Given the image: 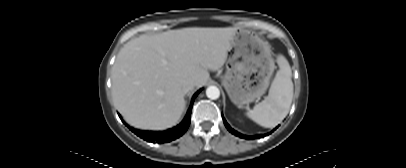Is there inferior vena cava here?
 Wrapping results in <instances>:
<instances>
[{
    "mask_svg": "<svg viewBox=\"0 0 406 168\" xmlns=\"http://www.w3.org/2000/svg\"><path fill=\"white\" fill-rule=\"evenodd\" d=\"M195 87V83L193 81H187L185 82V84L183 85V93L188 94L190 93Z\"/></svg>",
    "mask_w": 406,
    "mask_h": 168,
    "instance_id": "1",
    "label": "inferior vena cava"
}]
</instances>
